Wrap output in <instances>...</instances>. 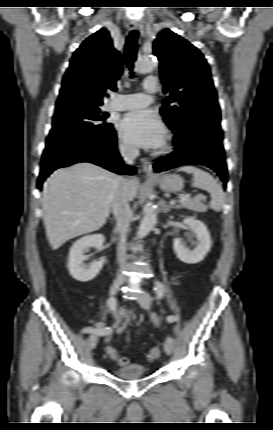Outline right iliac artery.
Returning <instances> with one entry per match:
<instances>
[{"mask_svg":"<svg viewBox=\"0 0 273 430\" xmlns=\"http://www.w3.org/2000/svg\"><path fill=\"white\" fill-rule=\"evenodd\" d=\"M107 305H108L110 311L113 312V314L115 315V313H116V300H115V298L112 297V298L108 299ZM109 332H110V328L107 327V328L92 330L91 334L92 335L98 334L100 336H104V335H107Z\"/></svg>","mask_w":273,"mask_h":430,"instance_id":"1","label":"right iliac artery"}]
</instances>
